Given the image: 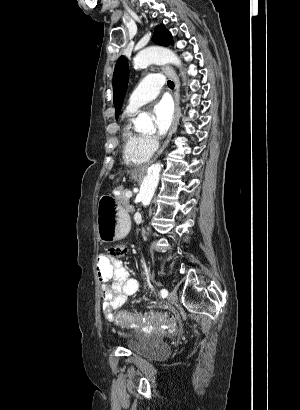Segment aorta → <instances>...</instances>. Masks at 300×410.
<instances>
[{
    "label": "aorta",
    "instance_id": "aorta-1",
    "mask_svg": "<svg viewBox=\"0 0 300 410\" xmlns=\"http://www.w3.org/2000/svg\"><path fill=\"white\" fill-rule=\"evenodd\" d=\"M173 64L181 67L179 57L171 50L161 47H149L140 51L133 60L134 68L141 69L150 64ZM135 129L146 132L153 128L151 118L147 113H140L134 121ZM163 165L158 162L151 165L143 179L139 191V198L144 206L150 204L159 183L160 172Z\"/></svg>",
    "mask_w": 300,
    "mask_h": 410
}]
</instances>
